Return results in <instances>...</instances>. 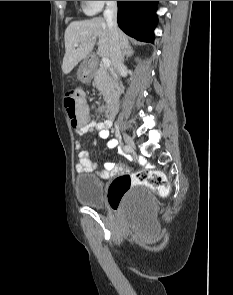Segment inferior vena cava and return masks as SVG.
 <instances>
[{"instance_id":"602c4592","label":"inferior vena cava","mask_w":233,"mask_h":295,"mask_svg":"<svg viewBox=\"0 0 233 295\" xmlns=\"http://www.w3.org/2000/svg\"><path fill=\"white\" fill-rule=\"evenodd\" d=\"M107 6L104 11V18L107 22L110 31V52L111 60L118 75H122L124 71L123 54L118 40L117 27V2L107 1Z\"/></svg>"}]
</instances>
